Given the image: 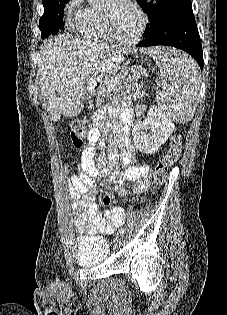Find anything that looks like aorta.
<instances>
[{
	"label": "aorta",
	"instance_id": "aorta-1",
	"mask_svg": "<svg viewBox=\"0 0 227 315\" xmlns=\"http://www.w3.org/2000/svg\"><path fill=\"white\" fill-rule=\"evenodd\" d=\"M90 4H98L102 2L103 0H87Z\"/></svg>",
	"mask_w": 227,
	"mask_h": 315
}]
</instances>
